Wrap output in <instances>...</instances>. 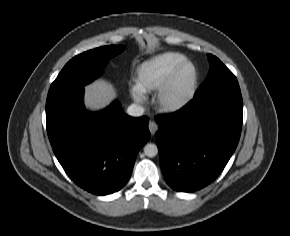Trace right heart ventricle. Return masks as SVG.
Here are the masks:
<instances>
[{
  "label": "right heart ventricle",
  "mask_w": 290,
  "mask_h": 236,
  "mask_svg": "<svg viewBox=\"0 0 290 236\" xmlns=\"http://www.w3.org/2000/svg\"><path fill=\"white\" fill-rule=\"evenodd\" d=\"M186 57L176 52L156 55L142 63L136 74L137 87L144 92L159 89L170 77L175 68L184 62Z\"/></svg>",
  "instance_id": "right-heart-ventricle-1"
}]
</instances>
